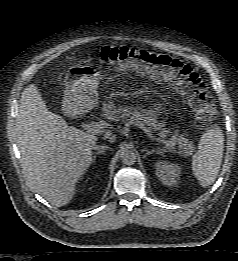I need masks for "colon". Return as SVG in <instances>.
Masks as SVG:
<instances>
[{"mask_svg":"<svg viewBox=\"0 0 238 261\" xmlns=\"http://www.w3.org/2000/svg\"><path fill=\"white\" fill-rule=\"evenodd\" d=\"M98 58L122 70H135L171 81L191 106L198 122L208 124L214 119L216 109L211 96L199 74L185 62L147 49L116 46L102 47Z\"/></svg>","mask_w":238,"mask_h":261,"instance_id":"5ec220e1","label":"colon"}]
</instances>
